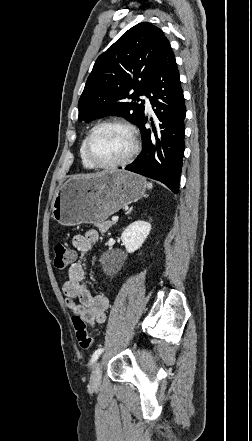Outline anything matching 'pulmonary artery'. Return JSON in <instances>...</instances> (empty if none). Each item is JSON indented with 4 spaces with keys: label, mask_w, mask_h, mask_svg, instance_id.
<instances>
[{
    "label": "pulmonary artery",
    "mask_w": 252,
    "mask_h": 441,
    "mask_svg": "<svg viewBox=\"0 0 252 441\" xmlns=\"http://www.w3.org/2000/svg\"><path fill=\"white\" fill-rule=\"evenodd\" d=\"M143 100L145 102L146 109L148 111H152V107H151V104H150V101H149L148 97L143 96Z\"/></svg>",
    "instance_id": "pulmonary-artery-1"
}]
</instances>
